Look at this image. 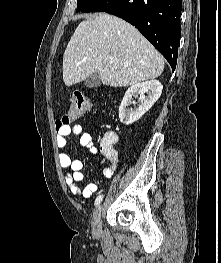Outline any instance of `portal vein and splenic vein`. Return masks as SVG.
<instances>
[{"label": "portal vein and splenic vein", "instance_id": "18ae733b", "mask_svg": "<svg viewBox=\"0 0 221 263\" xmlns=\"http://www.w3.org/2000/svg\"><path fill=\"white\" fill-rule=\"evenodd\" d=\"M113 62H114L113 59H110V60H109V63H110V64H112Z\"/></svg>", "mask_w": 221, "mask_h": 263}]
</instances>
